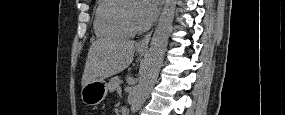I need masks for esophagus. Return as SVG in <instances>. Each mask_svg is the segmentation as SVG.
Masks as SVG:
<instances>
[{
  "label": "esophagus",
  "instance_id": "obj_1",
  "mask_svg": "<svg viewBox=\"0 0 285 115\" xmlns=\"http://www.w3.org/2000/svg\"><path fill=\"white\" fill-rule=\"evenodd\" d=\"M152 31L149 32L144 38H142L138 43L137 47L141 49H147L150 39H151Z\"/></svg>",
  "mask_w": 285,
  "mask_h": 115
}]
</instances>
